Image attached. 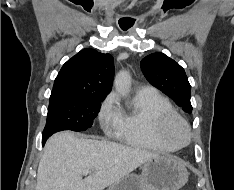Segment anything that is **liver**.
Returning a JSON list of instances; mask_svg holds the SVG:
<instances>
[{"instance_id":"1","label":"liver","mask_w":234,"mask_h":190,"mask_svg":"<svg viewBox=\"0 0 234 190\" xmlns=\"http://www.w3.org/2000/svg\"><path fill=\"white\" fill-rule=\"evenodd\" d=\"M158 156L140 148L59 132L45 145L36 190H103ZM84 170L90 171L85 179Z\"/></svg>"}]
</instances>
